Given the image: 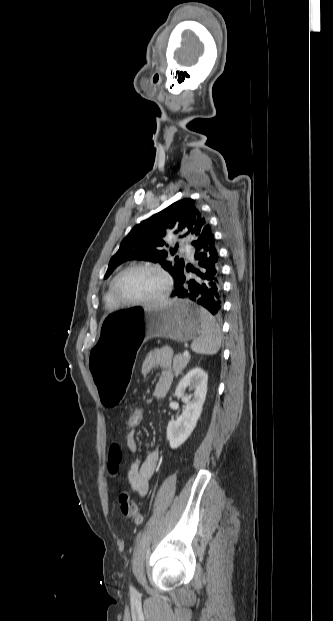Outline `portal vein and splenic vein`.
<instances>
[{
	"instance_id": "obj_1",
	"label": "portal vein and splenic vein",
	"mask_w": 333,
	"mask_h": 621,
	"mask_svg": "<svg viewBox=\"0 0 333 621\" xmlns=\"http://www.w3.org/2000/svg\"><path fill=\"white\" fill-rule=\"evenodd\" d=\"M183 356H185V357H189V352H188V351H184V352H183Z\"/></svg>"
}]
</instances>
